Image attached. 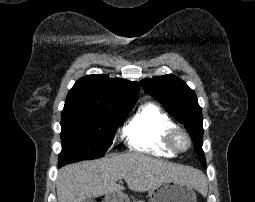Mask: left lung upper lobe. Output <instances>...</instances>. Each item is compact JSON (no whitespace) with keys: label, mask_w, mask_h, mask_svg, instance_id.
Segmentation results:
<instances>
[{"label":"left lung upper lobe","mask_w":255,"mask_h":202,"mask_svg":"<svg viewBox=\"0 0 255 202\" xmlns=\"http://www.w3.org/2000/svg\"><path fill=\"white\" fill-rule=\"evenodd\" d=\"M140 84L147 93L161 102L173 117L185 125L193 139L198 157L203 167H206L202 150V111L194 91L184 81L171 74L143 79Z\"/></svg>","instance_id":"1"}]
</instances>
